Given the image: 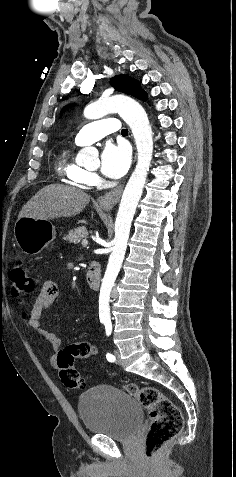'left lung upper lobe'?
<instances>
[{"instance_id":"obj_1","label":"left lung upper lobe","mask_w":236,"mask_h":477,"mask_svg":"<svg viewBox=\"0 0 236 477\" xmlns=\"http://www.w3.org/2000/svg\"><path fill=\"white\" fill-rule=\"evenodd\" d=\"M111 85L116 91L132 95L142 101L147 98V93L141 88L140 83L129 76L116 75L111 78Z\"/></svg>"}]
</instances>
